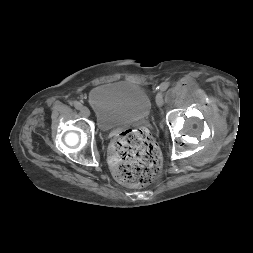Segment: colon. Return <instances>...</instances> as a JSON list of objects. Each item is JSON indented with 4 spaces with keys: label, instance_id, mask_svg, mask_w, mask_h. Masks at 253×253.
Returning a JSON list of instances; mask_svg holds the SVG:
<instances>
[{
    "label": "colon",
    "instance_id": "obj_1",
    "mask_svg": "<svg viewBox=\"0 0 253 253\" xmlns=\"http://www.w3.org/2000/svg\"><path fill=\"white\" fill-rule=\"evenodd\" d=\"M109 158L115 178L127 186L147 185L160 173V152L149 133L141 128L121 132L111 145Z\"/></svg>",
    "mask_w": 253,
    "mask_h": 253
}]
</instances>
